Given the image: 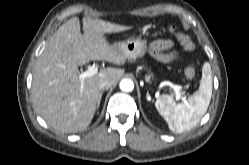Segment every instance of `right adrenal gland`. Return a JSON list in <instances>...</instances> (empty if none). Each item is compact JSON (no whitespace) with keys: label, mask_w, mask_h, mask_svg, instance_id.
Returning <instances> with one entry per match:
<instances>
[{"label":"right adrenal gland","mask_w":249,"mask_h":165,"mask_svg":"<svg viewBox=\"0 0 249 165\" xmlns=\"http://www.w3.org/2000/svg\"><path fill=\"white\" fill-rule=\"evenodd\" d=\"M102 93H103V92H101V94H100V98H99L98 103H97V109H98V108H99V106H100V102H101V98H102Z\"/></svg>","instance_id":"1"}]
</instances>
